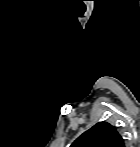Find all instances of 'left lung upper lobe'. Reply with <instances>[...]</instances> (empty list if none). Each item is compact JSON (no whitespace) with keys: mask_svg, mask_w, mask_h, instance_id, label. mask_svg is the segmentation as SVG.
<instances>
[{"mask_svg":"<svg viewBox=\"0 0 140 147\" xmlns=\"http://www.w3.org/2000/svg\"><path fill=\"white\" fill-rule=\"evenodd\" d=\"M71 147H125L117 129L107 122H99L78 137Z\"/></svg>","mask_w":140,"mask_h":147,"instance_id":"obj_1","label":"left lung upper lobe"}]
</instances>
